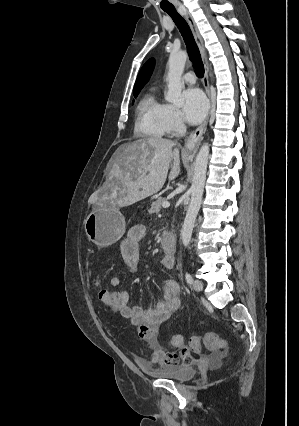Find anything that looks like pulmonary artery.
Returning a JSON list of instances; mask_svg holds the SVG:
<instances>
[{
  "label": "pulmonary artery",
  "mask_w": 299,
  "mask_h": 426,
  "mask_svg": "<svg viewBox=\"0 0 299 426\" xmlns=\"http://www.w3.org/2000/svg\"><path fill=\"white\" fill-rule=\"evenodd\" d=\"M183 80L188 84H193L196 81L195 74L193 72H187L183 75Z\"/></svg>",
  "instance_id": "obj_1"
}]
</instances>
